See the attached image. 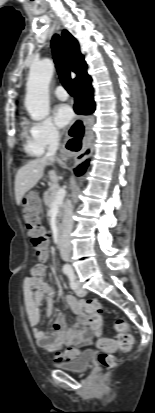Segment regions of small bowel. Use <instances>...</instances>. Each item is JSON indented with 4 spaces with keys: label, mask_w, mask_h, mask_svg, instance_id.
Here are the masks:
<instances>
[{
    "label": "small bowel",
    "mask_w": 155,
    "mask_h": 413,
    "mask_svg": "<svg viewBox=\"0 0 155 413\" xmlns=\"http://www.w3.org/2000/svg\"><path fill=\"white\" fill-rule=\"evenodd\" d=\"M48 259V253L42 262ZM45 267L42 263L35 264L30 274L24 280L25 294L24 307L29 324L32 326V334L38 346L50 353L57 355L58 359L70 360L81 351V346L89 343L93 335H100L103 328L102 317L93 316L88 311L84 312L86 302L74 296L64 297L65 303L78 316L76 322L67 324L64 314L57 316L52 331L41 330L38 325L41 322L40 307L44 302L48 303L47 315H51V297L53 287L43 282L42 276ZM114 345V342L110 340ZM63 348H65L63 350Z\"/></svg>",
    "instance_id": "small-bowel-1"
}]
</instances>
